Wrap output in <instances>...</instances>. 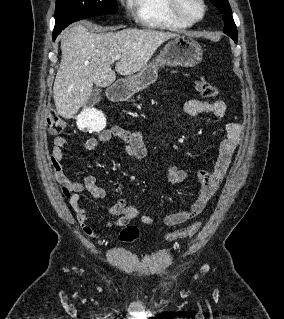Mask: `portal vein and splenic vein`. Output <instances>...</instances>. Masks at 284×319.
Listing matches in <instances>:
<instances>
[{"label":"portal vein and splenic vein","instance_id":"portal-vein-and-splenic-vein-1","mask_svg":"<svg viewBox=\"0 0 284 319\" xmlns=\"http://www.w3.org/2000/svg\"><path fill=\"white\" fill-rule=\"evenodd\" d=\"M118 59H119V57L116 56V57L112 58V61H115V60H118Z\"/></svg>","mask_w":284,"mask_h":319}]
</instances>
